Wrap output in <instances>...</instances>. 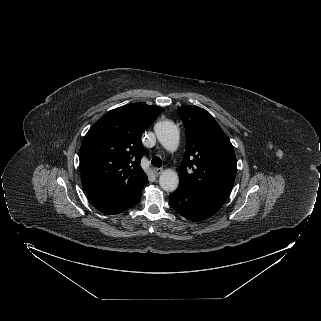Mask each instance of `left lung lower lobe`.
I'll return each instance as SVG.
<instances>
[{
    "label": "left lung lower lobe",
    "instance_id": "1",
    "mask_svg": "<svg viewBox=\"0 0 321 321\" xmlns=\"http://www.w3.org/2000/svg\"><path fill=\"white\" fill-rule=\"evenodd\" d=\"M227 197L191 191L182 187L170 195L171 206L186 219L202 221L214 215Z\"/></svg>",
    "mask_w": 321,
    "mask_h": 321
}]
</instances>
